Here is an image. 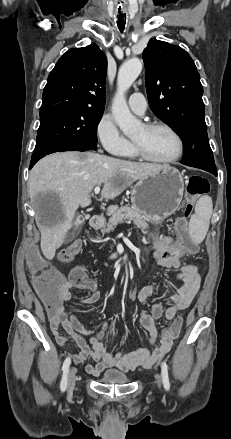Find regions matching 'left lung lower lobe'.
<instances>
[{
    "label": "left lung lower lobe",
    "mask_w": 231,
    "mask_h": 439,
    "mask_svg": "<svg viewBox=\"0 0 231 439\" xmlns=\"http://www.w3.org/2000/svg\"><path fill=\"white\" fill-rule=\"evenodd\" d=\"M191 167H196V168L205 170V171L210 172L213 175L217 176V170L216 169H208V168H204V167H200V166H191Z\"/></svg>",
    "instance_id": "obj_1"
}]
</instances>
